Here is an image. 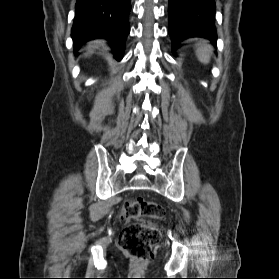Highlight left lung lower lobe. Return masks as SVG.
Returning <instances> with one entry per match:
<instances>
[{"label":"left lung lower lobe","mask_w":279,"mask_h":279,"mask_svg":"<svg viewBox=\"0 0 279 279\" xmlns=\"http://www.w3.org/2000/svg\"><path fill=\"white\" fill-rule=\"evenodd\" d=\"M172 50L189 37H204L216 46L215 0H169Z\"/></svg>","instance_id":"1"}]
</instances>
